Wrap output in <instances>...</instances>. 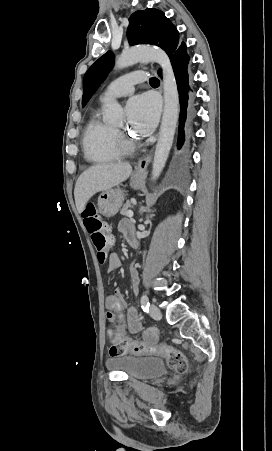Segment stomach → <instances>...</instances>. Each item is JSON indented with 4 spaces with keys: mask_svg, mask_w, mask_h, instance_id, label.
<instances>
[{
    "mask_svg": "<svg viewBox=\"0 0 272 451\" xmlns=\"http://www.w3.org/2000/svg\"><path fill=\"white\" fill-rule=\"evenodd\" d=\"M144 178L145 176H135V174H133L131 178L132 188H138ZM124 200V194L120 188H115V190H105V192H102L98 198L99 214L106 216V218L115 216L118 210H120Z\"/></svg>",
    "mask_w": 272,
    "mask_h": 451,
    "instance_id": "0dacf381",
    "label": "stomach"
}]
</instances>
